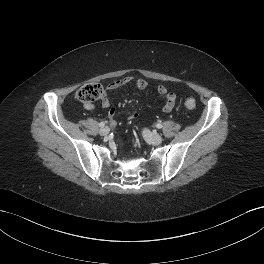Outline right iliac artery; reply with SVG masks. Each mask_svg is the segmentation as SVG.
Here are the masks:
<instances>
[{"mask_svg":"<svg viewBox=\"0 0 264 264\" xmlns=\"http://www.w3.org/2000/svg\"><path fill=\"white\" fill-rule=\"evenodd\" d=\"M105 124H106V122H101V123L99 124V126H100V127H103V126H105Z\"/></svg>","mask_w":264,"mask_h":264,"instance_id":"obj_1","label":"right iliac artery"}]
</instances>
